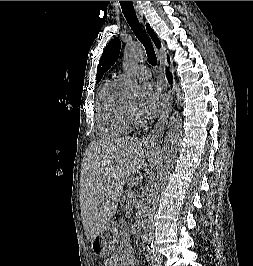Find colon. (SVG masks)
Returning a JSON list of instances; mask_svg holds the SVG:
<instances>
[{"label": "colon", "instance_id": "colon-1", "mask_svg": "<svg viewBox=\"0 0 253 266\" xmlns=\"http://www.w3.org/2000/svg\"><path fill=\"white\" fill-rule=\"evenodd\" d=\"M101 266H105V262Z\"/></svg>", "mask_w": 253, "mask_h": 266}]
</instances>
